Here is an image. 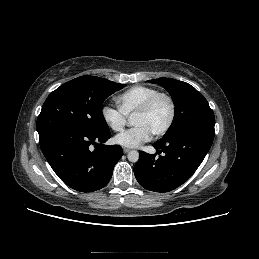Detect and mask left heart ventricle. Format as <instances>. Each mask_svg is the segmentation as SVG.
Wrapping results in <instances>:
<instances>
[{
  "mask_svg": "<svg viewBox=\"0 0 259 259\" xmlns=\"http://www.w3.org/2000/svg\"><path fill=\"white\" fill-rule=\"evenodd\" d=\"M170 116V105L164 98L158 99L150 111L145 115H135L133 125H142L150 130L152 134L165 126Z\"/></svg>",
  "mask_w": 259,
  "mask_h": 259,
  "instance_id": "left-heart-ventricle-1",
  "label": "left heart ventricle"
}]
</instances>
